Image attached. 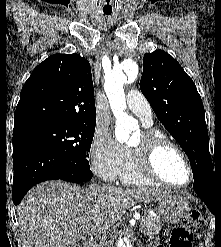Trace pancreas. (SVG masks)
Listing matches in <instances>:
<instances>
[{"label": "pancreas", "mask_w": 221, "mask_h": 247, "mask_svg": "<svg viewBox=\"0 0 221 247\" xmlns=\"http://www.w3.org/2000/svg\"><path fill=\"white\" fill-rule=\"evenodd\" d=\"M161 220L152 216L142 218L140 231L143 235L154 237L161 231Z\"/></svg>", "instance_id": "pancreas-1"}]
</instances>
